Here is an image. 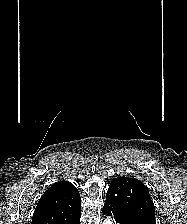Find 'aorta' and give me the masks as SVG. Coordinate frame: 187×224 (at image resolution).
<instances>
[{
	"label": "aorta",
	"mask_w": 187,
	"mask_h": 224,
	"mask_svg": "<svg viewBox=\"0 0 187 224\" xmlns=\"http://www.w3.org/2000/svg\"><path fill=\"white\" fill-rule=\"evenodd\" d=\"M104 224H112V219L107 217L105 220H104Z\"/></svg>",
	"instance_id": "aorta-1"
}]
</instances>
